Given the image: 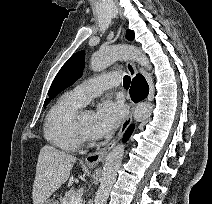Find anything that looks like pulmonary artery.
Masks as SVG:
<instances>
[{
  "mask_svg": "<svg viewBox=\"0 0 212 204\" xmlns=\"http://www.w3.org/2000/svg\"><path fill=\"white\" fill-rule=\"evenodd\" d=\"M120 83V77L116 73L94 77L76 86L70 93L81 104L85 105L103 91L116 87Z\"/></svg>",
  "mask_w": 212,
  "mask_h": 204,
  "instance_id": "obj_1",
  "label": "pulmonary artery"
}]
</instances>
